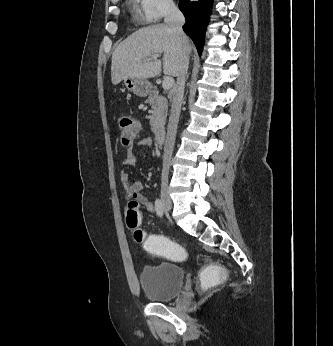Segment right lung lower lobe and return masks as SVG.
<instances>
[{
  "mask_svg": "<svg viewBox=\"0 0 333 346\" xmlns=\"http://www.w3.org/2000/svg\"><path fill=\"white\" fill-rule=\"evenodd\" d=\"M213 0H180L179 8L186 18L184 32L193 40L199 55L203 51L206 25L212 10Z\"/></svg>",
  "mask_w": 333,
  "mask_h": 346,
  "instance_id": "1",
  "label": "right lung lower lobe"
}]
</instances>
